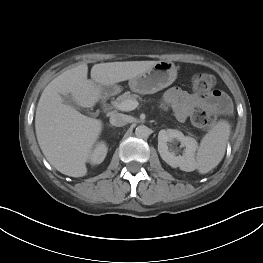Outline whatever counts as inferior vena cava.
<instances>
[{"mask_svg": "<svg viewBox=\"0 0 263 263\" xmlns=\"http://www.w3.org/2000/svg\"><path fill=\"white\" fill-rule=\"evenodd\" d=\"M110 124L116 127H122L124 125H126L127 123V119H126V115L121 114V113H113L110 116Z\"/></svg>", "mask_w": 263, "mask_h": 263, "instance_id": "1", "label": "inferior vena cava"}]
</instances>
